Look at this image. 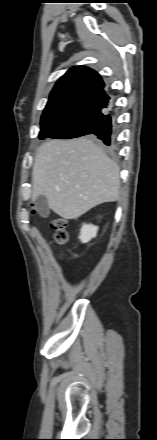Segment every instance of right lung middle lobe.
I'll use <instances>...</instances> for the list:
<instances>
[{
	"label": "right lung middle lobe",
	"mask_w": 157,
	"mask_h": 440,
	"mask_svg": "<svg viewBox=\"0 0 157 440\" xmlns=\"http://www.w3.org/2000/svg\"><path fill=\"white\" fill-rule=\"evenodd\" d=\"M85 135H95L87 125L78 120H51L41 122L40 139H70Z\"/></svg>",
	"instance_id": "obj_1"
}]
</instances>
